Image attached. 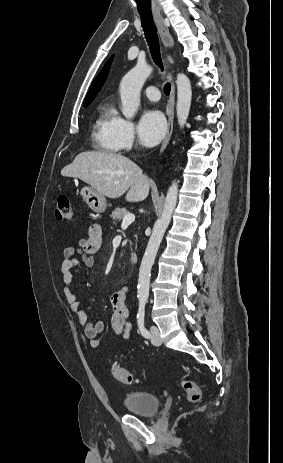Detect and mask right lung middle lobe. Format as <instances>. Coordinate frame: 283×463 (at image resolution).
Returning <instances> with one entry per match:
<instances>
[{
	"instance_id": "obj_1",
	"label": "right lung middle lobe",
	"mask_w": 283,
	"mask_h": 463,
	"mask_svg": "<svg viewBox=\"0 0 283 463\" xmlns=\"http://www.w3.org/2000/svg\"><path fill=\"white\" fill-rule=\"evenodd\" d=\"M89 104H84V107H87Z\"/></svg>"
}]
</instances>
